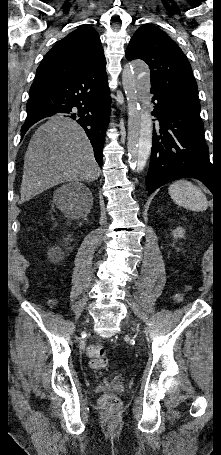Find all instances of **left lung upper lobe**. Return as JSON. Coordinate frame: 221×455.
<instances>
[{
	"instance_id": "5c2ea615",
	"label": "left lung upper lobe",
	"mask_w": 221,
	"mask_h": 455,
	"mask_svg": "<svg viewBox=\"0 0 221 455\" xmlns=\"http://www.w3.org/2000/svg\"><path fill=\"white\" fill-rule=\"evenodd\" d=\"M126 58L144 60L151 70V89L200 112L197 83L180 47L154 25L141 26L130 40Z\"/></svg>"
}]
</instances>
